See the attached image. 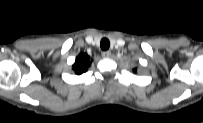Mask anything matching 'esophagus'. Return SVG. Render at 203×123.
<instances>
[{
	"label": "esophagus",
	"mask_w": 203,
	"mask_h": 123,
	"mask_svg": "<svg viewBox=\"0 0 203 123\" xmlns=\"http://www.w3.org/2000/svg\"><path fill=\"white\" fill-rule=\"evenodd\" d=\"M102 56L104 58H109L111 56V52L110 51H104V52H102Z\"/></svg>",
	"instance_id": "1"
}]
</instances>
